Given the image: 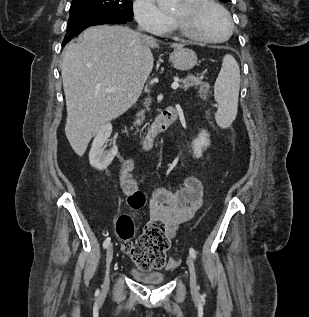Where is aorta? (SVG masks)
Here are the masks:
<instances>
[{"label": "aorta", "instance_id": "1", "mask_svg": "<svg viewBox=\"0 0 309 317\" xmlns=\"http://www.w3.org/2000/svg\"><path fill=\"white\" fill-rule=\"evenodd\" d=\"M159 7L164 11H170L176 7L178 0H157Z\"/></svg>", "mask_w": 309, "mask_h": 317}]
</instances>
